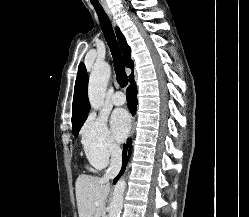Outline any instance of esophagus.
Instances as JSON below:
<instances>
[{
  "label": "esophagus",
  "mask_w": 249,
  "mask_h": 217,
  "mask_svg": "<svg viewBox=\"0 0 249 217\" xmlns=\"http://www.w3.org/2000/svg\"><path fill=\"white\" fill-rule=\"evenodd\" d=\"M104 10L108 16V18L112 21L113 25H115V20L113 18L112 12L108 7H104ZM134 126H135V119H133V128H132V134L134 133Z\"/></svg>",
  "instance_id": "obj_1"
}]
</instances>
